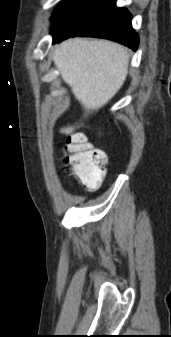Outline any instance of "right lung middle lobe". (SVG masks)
Returning a JSON list of instances; mask_svg holds the SVG:
<instances>
[{
    "instance_id": "obj_1",
    "label": "right lung middle lobe",
    "mask_w": 171,
    "mask_h": 337,
    "mask_svg": "<svg viewBox=\"0 0 171 337\" xmlns=\"http://www.w3.org/2000/svg\"><path fill=\"white\" fill-rule=\"evenodd\" d=\"M75 0H65L63 1L53 12L52 19L55 21L60 16H62L68 8L74 3Z\"/></svg>"
}]
</instances>
